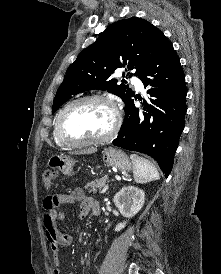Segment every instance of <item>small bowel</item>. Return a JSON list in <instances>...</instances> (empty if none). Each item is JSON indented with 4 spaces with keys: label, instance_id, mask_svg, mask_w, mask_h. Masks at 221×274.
<instances>
[{
    "label": "small bowel",
    "instance_id": "obj_1",
    "mask_svg": "<svg viewBox=\"0 0 221 274\" xmlns=\"http://www.w3.org/2000/svg\"><path fill=\"white\" fill-rule=\"evenodd\" d=\"M81 201L77 216L80 219L85 218L90 211L94 213L96 208L100 209V205L92 198H86L81 190H74L70 193H57L47 196L43 202L44 208V227L46 238L52 253L54 262L53 274H61L62 268L60 264V250L67 247L72 242V237L65 232L59 222L65 218V211L58 210L64 204ZM69 274H74L70 272Z\"/></svg>",
    "mask_w": 221,
    "mask_h": 274
}]
</instances>
